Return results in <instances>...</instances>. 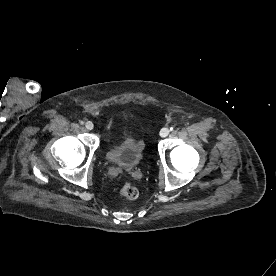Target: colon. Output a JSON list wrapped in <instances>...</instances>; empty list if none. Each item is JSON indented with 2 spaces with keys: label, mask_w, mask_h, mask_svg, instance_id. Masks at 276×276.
Wrapping results in <instances>:
<instances>
[{
  "label": "colon",
  "mask_w": 276,
  "mask_h": 276,
  "mask_svg": "<svg viewBox=\"0 0 276 276\" xmlns=\"http://www.w3.org/2000/svg\"><path fill=\"white\" fill-rule=\"evenodd\" d=\"M120 194L127 199H136L139 191L133 184L124 183L120 188Z\"/></svg>",
  "instance_id": "colon-1"
}]
</instances>
